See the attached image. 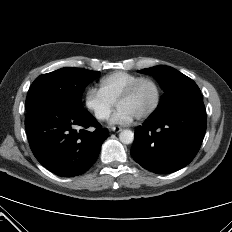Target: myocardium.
<instances>
[{
  "instance_id": "obj_1",
  "label": "myocardium",
  "mask_w": 232,
  "mask_h": 232,
  "mask_svg": "<svg viewBox=\"0 0 232 232\" xmlns=\"http://www.w3.org/2000/svg\"><path fill=\"white\" fill-rule=\"evenodd\" d=\"M144 82H149L153 85V87L155 89V100H154L153 105L151 106V108L148 111H146L141 116L137 117V119H139V120H145V119L149 118L150 116H152L156 112V110L159 107V104L161 101V88L155 79H153L151 77H147V76L138 78L124 91V93L116 101V106H118L120 103L130 99L134 95V93L136 92L138 87Z\"/></svg>"
}]
</instances>
